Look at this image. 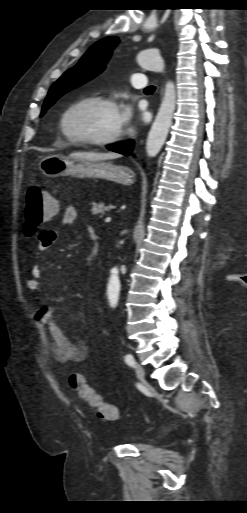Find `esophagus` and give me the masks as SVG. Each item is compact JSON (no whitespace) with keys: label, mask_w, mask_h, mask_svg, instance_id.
Wrapping results in <instances>:
<instances>
[{"label":"esophagus","mask_w":247,"mask_h":513,"mask_svg":"<svg viewBox=\"0 0 247 513\" xmlns=\"http://www.w3.org/2000/svg\"><path fill=\"white\" fill-rule=\"evenodd\" d=\"M162 92H163V89H161V94H162Z\"/></svg>","instance_id":"obj_1"}]
</instances>
